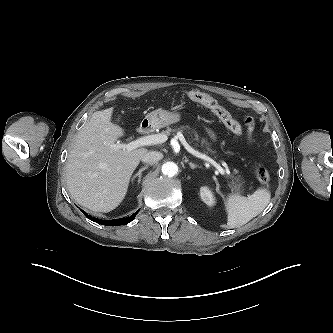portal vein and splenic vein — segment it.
<instances>
[{
  "mask_svg": "<svg viewBox=\"0 0 333 333\" xmlns=\"http://www.w3.org/2000/svg\"><path fill=\"white\" fill-rule=\"evenodd\" d=\"M177 138L180 140L181 144L184 146V148L191 153L192 155L201 158L210 164H212L221 175H225V170L218 164L216 161H214L209 156L198 152L197 150L193 149L185 140L183 134L181 132L177 133ZM168 137L165 134H155V135H149L144 136L141 138H138L128 144H116L115 147L118 149H123L124 151H132L136 148H139L141 146H148V145H155V144H161L167 141Z\"/></svg>",
  "mask_w": 333,
  "mask_h": 333,
  "instance_id": "portal-vein-and-splenic-vein-1",
  "label": "portal vein and splenic vein"
}]
</instances>
